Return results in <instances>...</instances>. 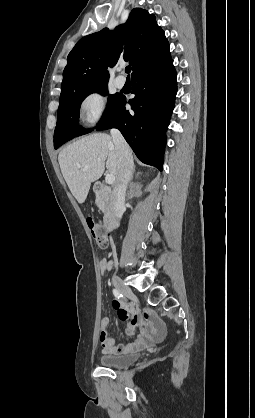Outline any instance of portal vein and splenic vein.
I'll list each match as a JSON object with an SVG mask.
<instances>
[{
	"label": "portal vein and splenic vein",
	"instance_id": "portal-vein-and-splenic-vein-1",
	"mask_svg": "<svg viewBox=\"0 0 255 418\" xmlns=\"http://www.w3.org/2000/svg\"><path fill=\"white\" fill-rule=\"evenodd\" d=\"M78 168H80L79 165H78ZM105 181L107 184L111 185L115 182V176L113 174H107L105 177Z\"/></svg>",
	"mask_w": 255,
	"mask_h": 418
}]
</instances>
